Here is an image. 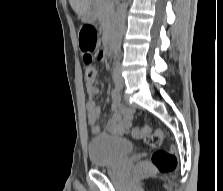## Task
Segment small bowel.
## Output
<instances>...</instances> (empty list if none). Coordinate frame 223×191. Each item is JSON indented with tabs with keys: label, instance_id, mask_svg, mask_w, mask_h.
I'll use <instances>...</instances> for the list:
<instances>
[{
	"label": "small bowel",
	"instance_id": "c3829d8e",
	"mask_svg": "<svg viewBox=\"0 0 223 191\" xmlns=\"http://www.w3.org/2000/svg\"><path fill=\"white\" fill-rule=\"evenodd\" d=\"M98 59L100 61H106L105 54L100 52L98 54ZM87 92L89 95V99L86 102L88 124L92 134L99 135L101 134V129L98 122L102 116V109L96 104L93 97L100 93V89L95 85L88 84ZM133 116L134 110L132 108L123 106L120 100L113 99L112 115L105 123V132L116 136L126 134L131 127Z\"/></svg>",
	"mask_w": 223,
	"mask_h": 191
}]
</instances>
